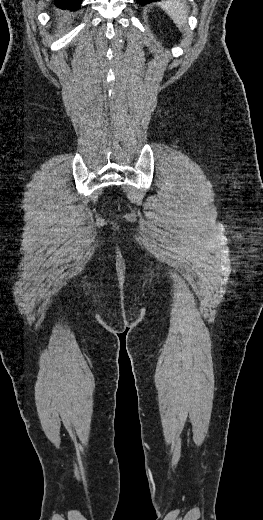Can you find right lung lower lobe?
Listing matches in <instances>:
<instances>
[{"mask_svg": "<svg viewBox=\"0 0 263 520\" xmlns=\"http://www.w3.org/2000/svg\"><path fill=\"white\" fill-rule=\"evenodd\" d=\"M82 0H55V4L62 8L77 10Z\"/></svg>", "mask_w": 263, "mask_h": 520, "instance_id": "right-lung-lower-lobe-1", "label": "right lung lower lobe"}]
</instances>
